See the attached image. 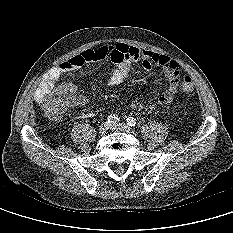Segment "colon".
Wrapping results in <instances>:
<instances>
[{
  "label": "colon",
  "instance_id": "5ec220e1",
  "mask_svg": "<svg viewBox=\"0 0 233 233\" xmlns=\"http://www.w3.org/2000/svg\"><path fill=\"white\" fill-rule=\"evenodd\" d=\"M180 90L189 95L193 92V83L189 76H184L179 82ZM75 86L66 84L57 87L50 95L43 100V106L51 117H58L64 111L65 107L75 97Z\"/></svg>",
  "mask_w": 233,
  "mask_h": 233
}]
</instances>
